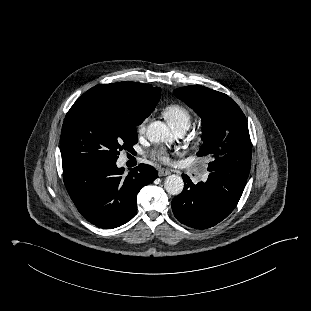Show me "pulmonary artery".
Instances as JSON below:
<instances>
[{
	"instance_id": "e3ab8cb5",
	"label": "pulmonary artery",
	"mask_w": 311,
	"mask_h": 311,
	"mask_svg": "<svg viewBox=\"0 0 311 311\" xmlns=\"http://www.w3.org/2000/svg\"><path fill=\"white\" fill-rule=\"evenodd\" d=\"M174 132H175V134H176L177 136L180 137V136H183V135L185 134L186 128H185V127L176 128V129H174ZM207 178H208V173H206V172H204V173H202V174L200 175V179H201L202 181H206Z\"/></svg>"
}]
</instances>
